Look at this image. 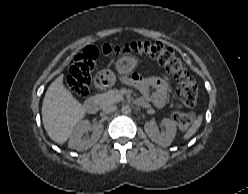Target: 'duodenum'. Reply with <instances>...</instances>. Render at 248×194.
Masks as SVG:
<instances>
[{
    "instance_id": "duodenum-1",
    "label": "duodenum",
    "mask_w": 248,
    "mask_h": 194,
    "mask_svg": "<svg viewBox=\"0 0 248 194\" xmlns=\"http://www.w3.org/2000/svg\"><path fill=\"white\" fill-rule=\"evenodd\" d=\"M99 101L96 97H88L84 101V108L89 113H95L98 110Z\"/></svg>"
}]
</instances>
